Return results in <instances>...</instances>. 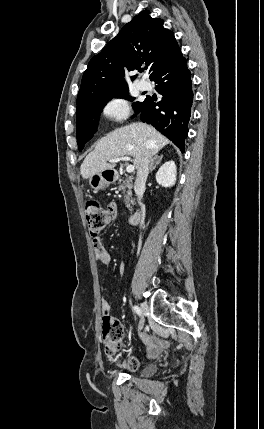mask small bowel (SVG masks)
<instances>
[{"instance_id": "small-bowel-1", "label": "small bowel", "mask_w": 264, "mask_h": 429, "mask_svg": "<svg viewBox=\"0 0 264 429\" xmlns=\"http://www.w3.org/2000/svg\"><path fill=\"white\" fill-rule=\"evenodd\" d=\"M116 214H117L116 208L113 206L112 219H114L116 217ZM93 247H94V252H95L97 260L102 265L108 266L112 261V257L110 255V253L108 252V250L103 246V244L99 238L93 239ZM123 271H124V267L121 266L120 267V273H123ZM107 307H108L107 302L103 301V303H102L103 310L105 311L107 309ZM142 341L146 345V353H147V356L150 358L157 357L160 354V352L165 347H167L166 342H164L158 338L151 337L147 334H144L142 336Z\"/></svg>"}]
</instances>
